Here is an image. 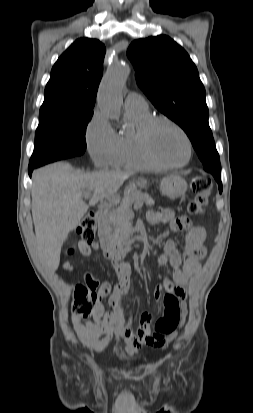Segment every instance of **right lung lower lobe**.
<instances>
[{
    "label": "right lung lower lobe",
    "instance_id": "98d812e1",
    "mask_svg": "<svg viewBox=\"0 0 253 413\" xmlns=\"http://www.w3.org/2000/svg\"><path fill=\"white\" fill-rule=\"evenodd\" d=\"M35 168H37V167H29V168H28L29 176H31V172H32Z\"/></svg>",
    "mask_w": 253,
    "mask_h": 413
}]
</instances>
